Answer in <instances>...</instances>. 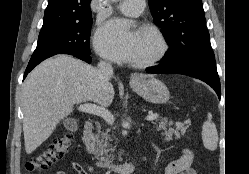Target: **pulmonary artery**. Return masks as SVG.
Instances as JSON below:
<instances>
[{
	"label": "pulmonary artery",
	"instance_id": "e3ab8cb5",
	"mask_svg": "<svg viewBox=\"0 0 249 174\" xmlns=\"http://www.w3.org/2000/svg\"><path fill=\"white\" fill-rule=\"evenodd\" d=\"M144 4V0H123L118 9L126 15L137 16L142 12Z\"/></svg>",
	"mask_w": 249,
	"mask_h": 174
}]
</instances>
